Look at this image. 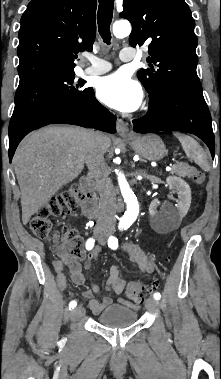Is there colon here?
I'll return each mask as SVG.
<instances>
[{
  "mask_svg": "<svg viewBox=\"0 0 221 379\" xmlns=\"http://www.w3.org/2000/svg\"><path fill=\"white\" fill-rule=\"evenodd\" d=\"M191 180L199 185L204 180L203 173L192 168L188 172ZM84 191L78 186L70 188L65 193L59 195L56 198L45 203L37 213L30 220V229L39 238H46L53 234V223L51 221L52 217H60L69 214L73 211L78 203L83 200ZM60 237L64 242V253L72 258L82 259L85 255L81 239L78 233L69 228L63 229L60 233H55V237ZM151 290V287L143 284L140 281H133L128 284L126 288L127 296L135 301L142 302L146 294Z\"/></svg>",
  "mask_w": 221,
  "mask_h": 379,
  "instance_id": "colon-1",
  "label": "colon"
}]
</instances>
